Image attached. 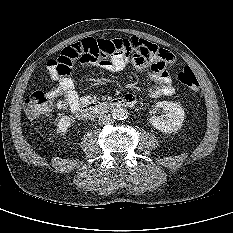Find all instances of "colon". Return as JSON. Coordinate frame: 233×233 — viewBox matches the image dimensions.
Instances as JSON below:
<instances>
[{
  "label": "colon",
  "mask_w": 233,
  "mask_h": 233,
  "mask_svg": "<svg viewBox=\"0 0 233 233\" xmlns=\"http://www.w3.org/2000/svg\"><path fill=\"white\" fill-rule=\"evenodd\" d=\"M133 45L123 39H93L88 38L65 48L61 55L53 59L56 71L60 75H69L71 67L76 62H100L117 54L130 56ZM180 83L191 90L199 89V81L193 70L186 66L178 74ZM57 94L35 91L26 99L27 114L36 118L47 114L53 109Z\"/></svg>",
  "instance_id": "colon-1"
}]
</instances>
